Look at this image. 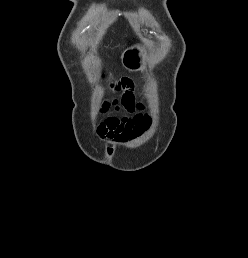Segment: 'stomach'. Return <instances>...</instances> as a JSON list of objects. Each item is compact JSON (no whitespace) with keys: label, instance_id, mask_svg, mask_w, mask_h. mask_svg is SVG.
Returning <instances> with one entry per match:
<instances>
[{"label":"stomach","instance_id":"1","mask_svg":"<svg viewBox=\"0 0 248 258\" xmlns=\"http://www.w3.org/2000/svg\"><path fill=\"white\" fill-rule=\"evenodd\" d=\"M149 49L146 45L138 44L127 49L122 56V65L129 71L143 69L147 64Z\"/></svg>","mask_w":248,"mask_h":258}]
</instances>
